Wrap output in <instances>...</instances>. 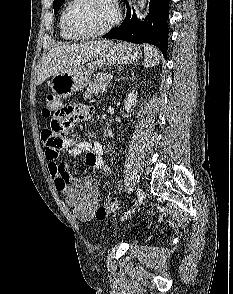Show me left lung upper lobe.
Instances as JSON below:
<instances>
[{"label": "left lung upper lobe", "mask_w": 233, "mask_h": 294, "mask_svg": "<svg viewBox=\"0 0 233 294\" xmlns=\"http://www.w3.org/2000/svg\"><path fill=\"white\" fill-rule=\"evenodd\" d=\"M65 0H54L53 2V8L54 11H58V9L60 8V6L64 3Z\"/></svg>", "instance_id": "5c2ea615"}]
</instances>
